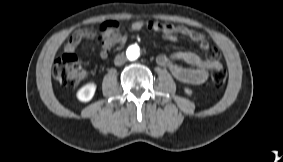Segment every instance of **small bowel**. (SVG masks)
I'll return each mask as SVG.
<instances>
[{
	"label": "small bowel",
	"mask_w": 283,
	"mask_h": 162,
	"mask_svg": "<svg viewBox=\"0 0 283 162\" xmlns=\"http://www.w3.org/2000/svg\"><path fill=\"white\" fill-rule=\"evenodd\" d=\"M151 30L159 33L165 40L175 42L178 36H185L199 44L200 48L207 54L205 57L190 52L177 51L170 57L159 55L156 61L159 65L167 67L171 74L180 82L199 85L207 81L209 72L215 68L222 67L219 61V53L216 49L210 48L205 35L199 31L190 29L183 25H171L153 21H134L126 28L122 27L116 21H107L101 27V51L100 56L105 59L108 57L112 48L117 45H123L127 41L126 30L130 32H139L142 30ZM96 33L92 29H78L69 38L64 47L66 54H73L83 39L92 40ZM178 61L185 62L190 67L183 66Z\"/></svg>",
	"instance_id": "small-bowel-1"
}]
</instances>
